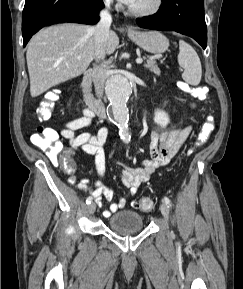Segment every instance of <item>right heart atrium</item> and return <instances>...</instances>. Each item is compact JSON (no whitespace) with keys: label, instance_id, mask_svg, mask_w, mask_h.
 Wrapping results in <instances>:
<instances>
[{"label":"right heart atrium","instance_id":"obj_1","mask_svg":"<svg viewBox=\"0 0 243 289\" xmlns=\"http://www.w3.org/2000/svg\"><path fill=\"white\" fill-rule=\"evenodd\" d=\"M102 2H103L104 5L108 6V5L111 4L112 0H102Z\"/></svg>","mask_w":243,"mask_h":289}]
</instances>
